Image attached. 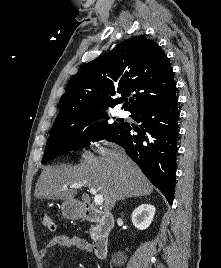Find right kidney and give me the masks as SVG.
I'll use <instances>...</instances> for the list:
<instances>
[{
  "label": "right kidney",
  "instance_id": "ca27d5eb",
  "mask_svg": "<svg viewBox=\"0 0 221 268\" xmlns=\"http://www.w3.org/2000/svg\"><path fill=\"white\" fill-rule=\"evenodd\" d=\"M155 207L151 204H141L132 212L133 225L139 230L147 229L154 217Z\"/></svg>",
  "mask_w": 221,
  "mask_h": 268
}]
</instances>
